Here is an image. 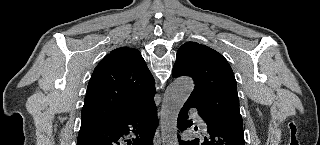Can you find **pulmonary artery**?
<instances>
[{
  "mask_svg": "<svg viewBox=\"0 0 320 145\" xmlns=\"http://www.w3.org/2000/svg\"><path fill=\"white\" fill-rule=\"evenodd\" d=\"M191 113L193 114V117L195 118L196 122L198 123V125L202 128L205 129L206 128V123L205 121L200 117V115L194 111V109L191 110Z\"/></svg>",
  "mask_w": 320,
  "mask_h": 145,
  "instance_id": "pulmonary-artery-1",
  "label": "pulmonary artery"
}]
</instances>
